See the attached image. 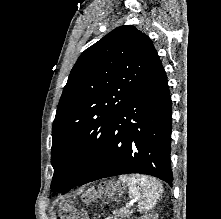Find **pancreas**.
I'll return each mask as SVG.
<instances>
[{
  "label": "pancreas",
  "instance_id": "cf45deb5",
  "mask_svg": "<svg viewBox=\"0 0 221 219\" xmlns=\"http://www.w3.org/2000/svg\"><path fill=\"white\" fill-rule=\"evenodd\" d=\"M114 216L108 217L106 219H117V217H119L120 219L124 218V217H128L131 214V211H129V209H116L113 211Z\"/></svg>",
  "mask_w": 221,
  "mask_h": 219
}]
</instances>
